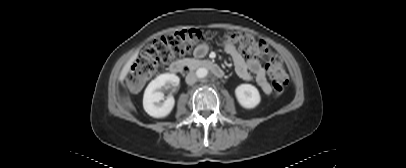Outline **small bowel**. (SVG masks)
<instances>
[{"label": "small bowel", "mask_w": 406, "mask_h": 168, "mask_svg": "<svg viewBox=\"0 0 406 168\" xmlns=\"http://www.w3.org/2000/svg\"><path fill=\"white\" fill-rule=\"evenodd\" d=\"M222 44L226 53L229 54L233 60L236 74L246 81H250L254 78L263 93L269 95L271 93V86L266 77V70L261 62L255 58L246 59L237 50L236 46L228 40H224ZM207 52L208 46L202 44L195 49L194 54L196 57L201 58L204 57Z\"/></svg>", "instance_id": "c3829d8e"}]
</instances>
